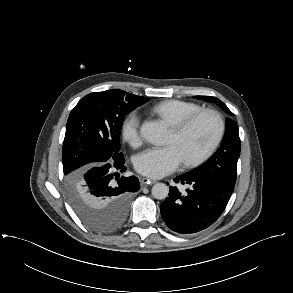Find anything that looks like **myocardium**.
<instances>
[{
	"instance_id": "myocardium-1",
	"label": "myocardium",
	"mask_w": 293,
	"mask_h": 293,
	"mask_svg": "<svg viewBox=\"0 0 293 293\" xmlns=\"http://www.w3.org/2000/svg\"><path fill=\"white\" fill-rule=\"evenodd\" d=\"M203 115H211L212 117L215 118L217 122V130L212 141L201 154H199L198 156L194 158L184 160V164L187 167H196L202 164L214 153V151L216 150V148L218 147L219 143L221 142L224 136V132H225L224 118L217 110L210 109V108H202L200 110H197L189 114L188 116L184 117L183 119L176 122L175 124L171 125L172 131L175 134L180 135L184 133L199 117Z\"/></svg>"
}]
</instances>
